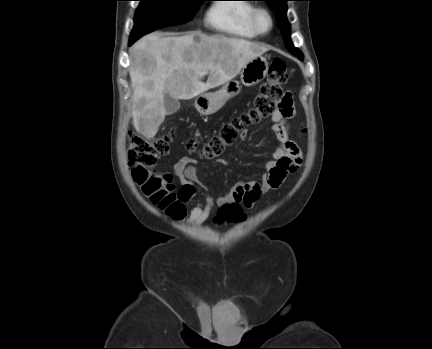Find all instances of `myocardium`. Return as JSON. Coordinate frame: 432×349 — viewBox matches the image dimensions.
<instances>
[{
	"label": "myocardium",
	"mask_w": 432,
	"mask_h": 349,
	"mask_svg": "<svg viewBox=\"0 0 432 349\" xmlns=\"http://www.w3.org/2000/svg\"><path fill=\"white\" fill-rule=\"evenodd\" d=\"M261 15L266 16L269 21V26L267 29H262L259 24V18ZM250 23L257 35H266L273 29L274 18L269 9L265 7H255L250 16Z\"/></svg>",
	"instance_id": "f54148a6"
}]
</instances>
